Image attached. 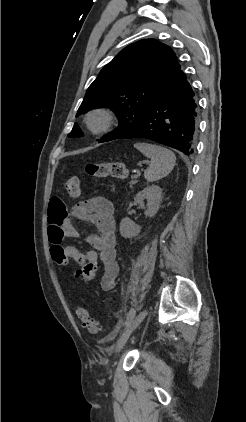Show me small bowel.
I'll use <instances>...</instances> for the list:
<instances>
[{"instance_id": "small-bowel-1", "label": "small bowel", "mask_w": 246, "mask_h": 422, "mask_svg": "<svg viewBox=\"0 0 246 422\" xmlns=\"http://www.w3.org/2000/svg\"><path fill=\"white\" fill-rule=\"evenodd\" d=\"M74 218L88 221L97 229V234H92L87 238L92 249L85 250L74 245H62L65 238L80 236L73 225ZM48 220L51 250L61 248L70 261L81 266L87 263H101L103 265L101 288L103 291L112 290L119 274L112 202L103 196H96L80 201L68 209L61 198L53 197L48 207Z\"/></svg>"}]
</instances>
